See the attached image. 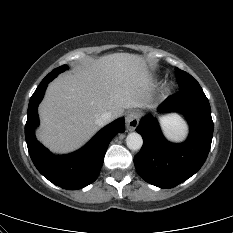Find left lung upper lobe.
<instances>
[{"instance_id":"5c2ea615","label":"left lung upper lobe","mask_w":233,"mask_h":233,"mask_svg":"<svg viewBox=\"0 0 233 233\" xmlns=\"http://www.w3.org/2000/svg\"><path fill=\"white\" fill-rule=\"evenodd\" d=\"M176 76L181 90H202L196 79L185 71L176 68Z\"/></svg>"}]
</instances>
